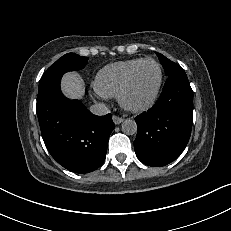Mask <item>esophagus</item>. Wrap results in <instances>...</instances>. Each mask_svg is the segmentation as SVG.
Returning <instances> with one entry per match:
<instances>
[{
    "label": "esophagus",
    "mask_w": 231,
    "mask_h": 231,
    "mask_svg": "<svg viewBox=\"0 0 231 231\" xmlns=\"http://www.w3.org/2000/svg\"><path fill=\"white\" fill-rule=\"evenodd\" d=\"M112 119H113V122H114L116 125L120 124V123L123 122V120H124L122 117H119V116H116V115H113Z\"/></svg>",
    "instance_id": "obj_1"
}]
</instances>
